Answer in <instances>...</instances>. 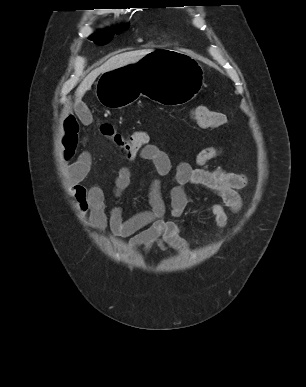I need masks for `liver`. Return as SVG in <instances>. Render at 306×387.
<instances>
[{"label": "liver", "instance_id": "obj_1", "mask_svg": "<svg viewBox=\"0 0 306 387\" xmlns=\"http://www.w3.org/2000/svg\"><path fill=\"white\" fill-rule=\"evenodd\" d=\"M152 49H144L138 51H130L124 52L117 55L112 56L108 59L103 65L94 69L91 73H89L85 79L81 82L75 92L76 96V104L79 103L84 96V94L91 88L95 79L101 74L105 72H109L120 67L133 64L138 62L147 54L151 53Z\"/></svg>", "mask_w": 306, "mask_h": 387}]
</instances>
